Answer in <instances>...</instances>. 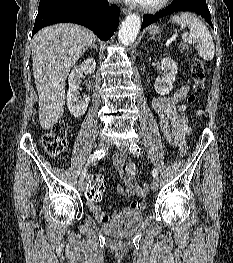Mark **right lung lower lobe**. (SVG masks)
<instances>
[{
    "label": "right lung lower lobe",
    "instance_id": "98d812e1",
    "mask_svg": "<svg viewBox=\"0 0 233 263\" xmlns=\"http://www.w3.org/2000/svg\"><path fill=\"white\" fill-rule=\"evenodd\" d=\"M74 6H56L38 13L32 36L41 28L71 22L91 29L101 40H108L119 25L120 8L107 0H78Z\"/></svg>",
    "mask_w": 233,
    "mask_h": 263
}]
</instances>
